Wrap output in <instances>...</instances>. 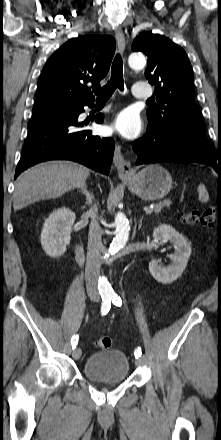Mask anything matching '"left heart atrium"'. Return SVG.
<instances>
[{
    "label": "left heart atrium",
    "mask_w": 221,
    "mask_h": 440,
    "mask_svg": "<svg viewBox=\"0 0 221 440\" xmlns=\"http://www.w3.org/2000/svg\"><path fill=\"white\" fill-rule=\"evenodd\" d=\"M112 129L124 137L134 138L140 133L141 121L137 113L127 109L118 115Z\"/></svg>",
    "instance_id": "39dd6f15"
}]
</instances>
